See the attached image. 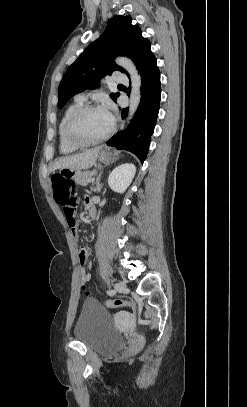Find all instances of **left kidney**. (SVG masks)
Masks as SVG:
<instances>
[{
  "mask_svg": "<svg viewBox=\"0 0 247 407\" xmlns=\"http://www.w3.org/2000/svg\"><path fill=\"white\" fill-rule=\"evenodd\" d=\"M136 173V167L133 163H125L116 167L108 178L110 188L118 193H124L131 184Z\"/></svg>",
  "mask_w": 247,
  "mask_h": 407,
  "instance_id": "1",
  "label": "left kidney"
}]
</instances>
